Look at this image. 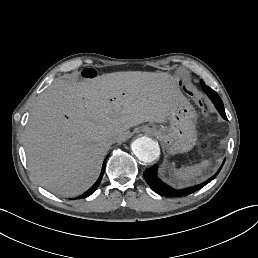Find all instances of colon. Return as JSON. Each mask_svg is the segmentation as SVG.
I'll use <instances>...</instances> for the list:
<instances>
[{
  "label": "colon",
  "mask_w": 258,
  "mask_h": 258,
  "mask_svg": "<svg viewBox=\"0 0 258 258\" xmlns=\"http://www.w3.org/2000/svg\"><path fill=\"white\" fill-rule=\"evenodd\" d=\"M100 72L95 68H85L81 71L80 75L84 79H95L98 77Z\"/></svg>",
  "instance_id": "1"
}]
</instances>
